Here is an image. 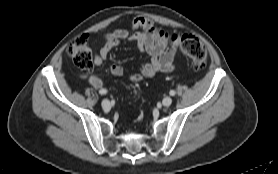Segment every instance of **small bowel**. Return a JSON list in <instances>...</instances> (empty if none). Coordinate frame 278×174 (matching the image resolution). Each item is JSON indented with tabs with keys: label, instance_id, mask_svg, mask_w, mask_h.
I'll use <instances>...</instances> for the list:
<instances>
[{
	"label": "small bowel",
	"instance_id": "obj_1",
	"mask_svg": "<svg viewBox=\"0 0 278 174\" xmlns=\"http://www.w3.org/2000/svg\"><path fill=\"white\" fill-rule=\"evenodd\" d=\"M159 29L154 22L144 16H138L132 21V28H117L104 36V43L99 52L94 55L93 63L100 66L107 59L113 48L123 41H133L138 49L149 57V62L142 64L138 71L130 72V80L134 83L140 82L143 78H151L159 72L168 73L173 71L174 59L177 52V46L167 41H158L155 34ZM112 74L121 76L126 71L117 64L110 66ZM88 81L96 89H105L102 79L95 74H90Z\"/></svg>",
	"mask_w": 278,
	"mask_h": 174
}]
</instances>
